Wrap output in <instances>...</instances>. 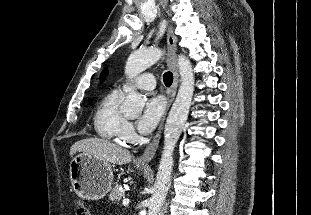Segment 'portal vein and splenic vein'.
<instances>
[{
  "instance_id": "1",
  "label": "portal vein and splenic vein",
  "mask_w": 311,
  "mask_h": 215,
  "mask_svg": "<svg viewBox=\"0 0 311 215\" xmlns=\"http://www.w3.org/2000/svg\"><path fill=\"white\" fill-rule=\"evenodd\" d=\"M129 202H130L129 199H124L122 204L123 206H127Z\"/></svg>"
}]
</instances>
